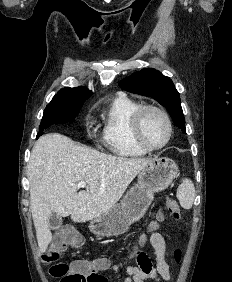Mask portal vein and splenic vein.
<instances>
[{
    "label": "portal vein and splenic vein",
    "mask_w": 232,
    "mask_h": 282,
    "mask_svg": "<svg viewBox=\"0 0 232 282\" xmlns=\"http://www.w3.org/2000/svg\"><path fill=\"white\" fill-rule=\"evenodd\" d=\"M77 187H78V188H86V183L83 182V181L78 182V183H77Z\"/></svg>",
    "instance_id": "portal-vein-and-splenic-vein-1"
}]
</instances>
